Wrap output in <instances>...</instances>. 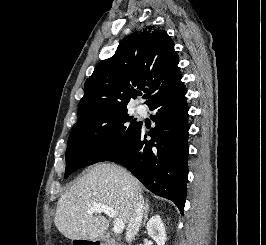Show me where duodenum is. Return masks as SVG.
<instances>
[{
	"instance_id": "duodenum-1",
	"label": "duodenum",
	"mask_w": 266,
	"mask_h": 245,
	"mask_svg": "<svg viewBox=\"0 0 266 245\" xmlns=\"http://www.w3.org/2000/svg\"><path fill=\"white\" fill-rule=\"evenodd\" d=\"M75 245H122L118 238L112 237H74Z\"/></svg>"
}]
</instances>
